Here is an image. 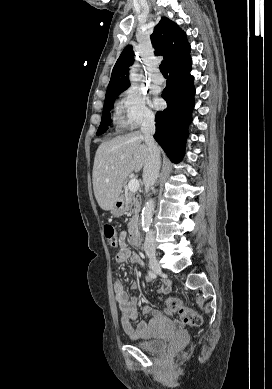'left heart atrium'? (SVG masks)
<instances>
[{
    "label": "left heart atrium",
    "mask_w": 272,
    "mask_h": 389,
    "mask_svg": "<svg viewBox=\"0 0 272 389\" xmlns=\"http://www.w3.org/2000/svg\"><path fill=\"white\" fill-rule=\"evenodd\" d=\"M160 104H161V101L159 99H155L154 105L160 106Z\"/></svg>",
    "instance_id": "obj_1"
}]
</instances>
